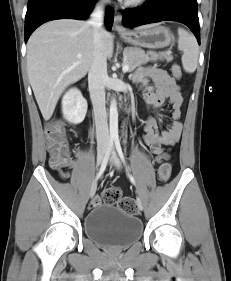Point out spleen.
I'll use <instances>...</instances> for the list:
<instances>
[{
    "label": "spleen",
    "mask_w": 231,
    "mask_h": 281,
    "mask_svg": "<svg viewBox=\"0 0 231 281\" xmlns=\"http://www.w3.org/2000/svg\"><path fill=\"white\" fill-rule=\"evenodd\" d=\"M178 49L183 52L182 66L187 73L195 72L198 65L199 47L196 38L183 28H178Z\"/></svg>",
    "instance_id": "1"
}]
</instances>
